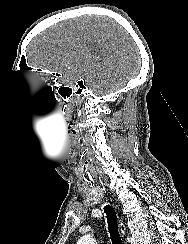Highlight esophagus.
<instances>
[{"label":"esophagus","mask_w":188,"mask_h":244,"mask_svg":"<svg viewBox=\"0 0 188 244\" xmlns=\"http://www.w3.org/2000/svg\"><path fill=\"white\" fill-rule=\"evenodd\" d=\"M119 230H120L122 235H125L126 227H125V224L122 221H120V223H119Z\"/></svg>","instance_id":"1"}]
</instances>
